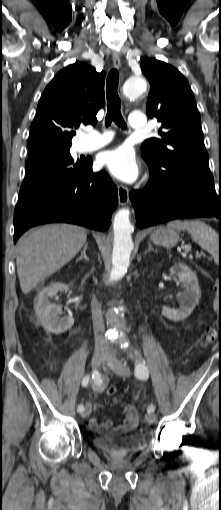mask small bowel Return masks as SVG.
Returning a JSON list of instances; mask_svg holds the SVG:
<instances>
[{
  "label": "small bowel",
  "mask_w": 221,
  "mask_h": 510,
  "mask_svg": "<svg viewBox=\"0 0 221 510\" xmlns=\"http://www.w3.org/2000/svg\"><path fill=\"white\" fill-rule=\"evenodd\" d=\"M101 389L100 385L96 386V390L99 391ZM95 411H99L102 409V405L99 403L94 404L93 406ZM136 411L135 407L133 405H127L124 409V413L127 415V420L120 425L114 426L112 422L105 421V422H99L95 417H91L89 420V426L91 429L98 431L103 434L107 433H115V434H121L130 432L135 429L136 423H130L128 421V417L131 412Z\"/></svg>",
  "instance_id": "1"
}]
</instances>
